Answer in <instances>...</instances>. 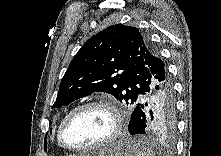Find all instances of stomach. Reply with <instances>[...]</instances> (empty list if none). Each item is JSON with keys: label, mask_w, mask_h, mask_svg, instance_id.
<instances>
[{"label": "stomach", "mask_w": 221, "mask_h": 156, "mask_svg": "<svg viewBox=\"0 0 221 156\" xmlns=\"http://www.w3.org/2000/svg\"><path fill=\"white\" fill-rule=\"evenodd\" d=\"M129 141H115L109 145L96 149L89 156H133Z\"/></svg>", "instance_id": "0dacf381"}]
</instances>
